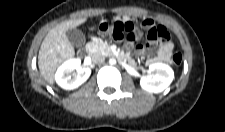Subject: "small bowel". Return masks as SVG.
Masks as SVG:
<instances>
[{"label": "small bowel", "instance_id": "c3829d8e", "mask_svg": "<svg viewBox=\"0 0 225 132\" xmlns=\"http://www.w3.org/2000/svg\"><path fill=\"white\" fill-rule=\"evenodd\" d=\"M114 24L119 25L124 30L136 31L137 38L140 36L141 28H145L147 30L156 28L154 22L150 19L134 22L129 18L122 17ZM126 48L128 50H131L133 48V44L131 42H128L126 44ZM136 50L139 54L146 56L149 63L172 62L173 44L170 40H161L159 44H157L156 41L150 40L148 45H138L136 47ZM130 63L134 64V61L130 60Z\"/></svg>", "mask_w": 225, "mask_h": 132}]
</instances>
